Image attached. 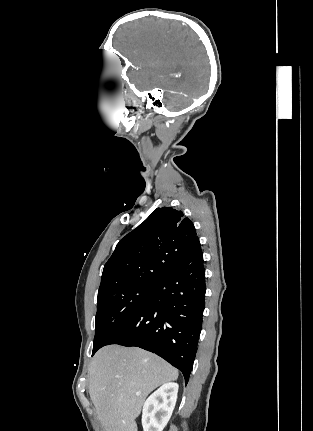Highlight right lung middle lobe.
Masks as SVG:
<instances>
[{"instance_id": "dd1d6c3e", "label": "right lung middle lobe", "mask_w": 313, "mask_h": 431, "mask_svg": "<svg viewBox=\"0 0 313 431\" xmlns=\"http://www.w3.org/2000/svg\"><path fill=\"white\" fill-rule=\"evenodd\" d=\"M157 286H140L106 293L98 298L93 353L146 301Z\"/></svg>"}]
</instances>
